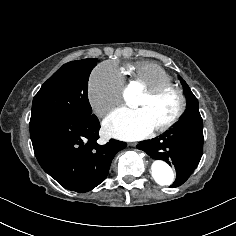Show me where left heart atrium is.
I'll return each instance as SVG.
<instances>
[{
  "mask_svg": "<svg viewBox=\"0 0 236 236\" xmlns=\"http://www.w3.org/2000/svg\"><path fill=\"white\" fill-rule=\"evenodd\" d=\"M103 130L111 137L134 141L144 138L154 128L145 110L120 108L105 118Z\"/></svg>",
  "mask_w": 236,
  "mask_h": 236,
  "instance_id": "39dd6f15",
  "label": "left heart atrium"
}]
</instances>
